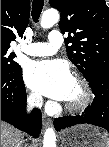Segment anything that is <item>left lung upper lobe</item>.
Returning <instances> with one entry per match:
<instances>
[{"label": "left lung upper lobe", "mask_w": 109, "mask_h": 147, "mask_svg": "<svg viewBox=\"0 0 109 147\" xmlns=\"http://www.w3.org/2000/svg\"><path fill=\"white\" fill-rule=\"evenodd\" d=\"M61 12L62 33L70 61L91 81L100 70H109V7L104 0H50Z\"/></svg>", "instance_id": "1"}]
</instances>
